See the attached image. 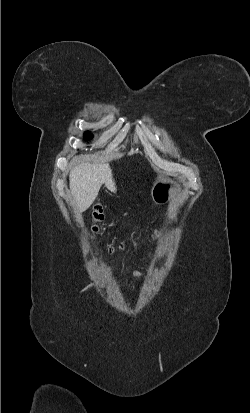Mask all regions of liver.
<instances>
[{"label":"liver","mask_w":250,"mask_h":413,"mask_svg":"<svg viewBox=\"0 0 250 413\" xmlns=\"http://www.w3.org/2000/svg\"><path fill=\"white\" fill-rule=\"evenodd\" d=\"M69 181L75 207L79 211L92 205L103 184L111 192L117 191L109 164L78 163L70 171Z\"/></svg>","instance_id":"6515ba94"}]
</instances>
